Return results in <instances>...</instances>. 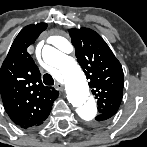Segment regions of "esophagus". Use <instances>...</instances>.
Instances as JSON below:
<instances>
[{
    "label": "esophagus",
    "mask_w": 147,
    "mask_h": 147,
    "mask_svg": "<svg viewBox=\"0 0 147 147\" xmlns=\"http://www.w3.org/2000/svg\"><path fill=\"white\" fill-rule=\"evenodd\" d=\"M55 87H56L58 90H60V91L63 90V85H62V83H60V82H56Z\"/></svg>",
    "instance_id": "1"
}]
</instances>
